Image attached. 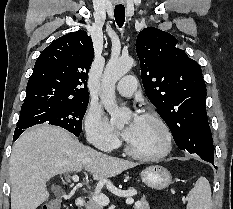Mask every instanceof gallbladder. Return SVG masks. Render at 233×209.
<instances>
[{
  "mask_svg": "<svg viewBox=\"0 0 233 209\" xmlns=\"http://www.w3.org/2000/svg\"><path fill=\"white\" fill-rule=\"evenodd\" d=\"M53 192L55 195L60 196L63 193V190L60 187H53Z\"/></svg>",
  "mask_w": 233,
  "mask_h": 209,
  "instance_id": "gallbladder-1",
  "label": "gallbladder"
}]
</instances>
